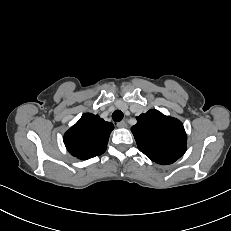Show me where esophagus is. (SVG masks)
<instances>
[{
    "label": "esophagus",
    "mask_w": 231,
    "mask_h": 231,
    "mask_svg": "<svg viewBox=\"0 0 231 231\" xmlns=\"http://www.w3.org/2000/svg\"><path fill=\"white\" fill-rule=\"evenodd\" d=\"M117 127H119V128L126 127V122L125 121H121V122L117 123Z\"/></svg>",
    "instance_id": "34e87169"
}]
</instances>
